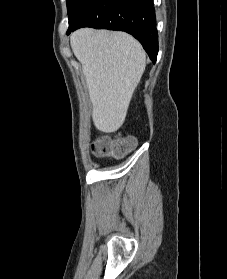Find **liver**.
I'll list each match as a JSON object with an SVG mask.
<instances>
[{
    "mask_svg": "<svg viewBox=\"0 0 227 279\" xmlns=\"http://www.w3.org/2000/svg\"><path fill=\"white\" fill-rule=\"evenodd\" d=\"M70 44L82 65L95 127L104 133L115 132L125 121L144 73L145 51L127 33L90 28L72 33Z\"/></svg>",
    "mask_w": 227,
    "mask_h": 279,
    "instance_id": "6515ba94",
    "label": "liver"
}]
</instances>
